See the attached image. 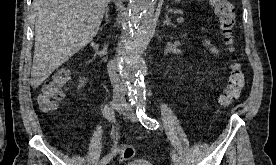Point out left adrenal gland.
I'll return each mask as SVG.
<instances>
[{"mask_svg": "<svg viewBox=\"0 0 276 165\" xmlns=\"http://www.w3.org/2000/svg\"><path fill=\"white\" fill-rule=\"evenodd\" d=\"M170 25L175 27L174 23L171 22V19L168 16V13L165 14V21L163 22V26Z\"/></svg>", "mask_w": 276, "mask_h": 165, "instance_id": "obj_1", "label": "left adrenal gland"}]
</instances>
